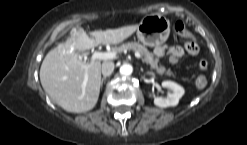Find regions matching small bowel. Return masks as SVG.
Masks as SVG:
<instances>
[{"mask_svg": "<svg viewBox=\"0 0 247 145\" xmlns=\"http://www.w3.org/2000/svg\"><path fill=\"white\" fill-rule=\"evenodd\" d=\"M199 47L195 42H186L183 45H160L155 48L158 57H167L170 62L175 63L182 57L196 56Z\"/></svg>", "mask_w": 247, "mask_h": 145, "instance_id": "small-bowel-1", "label": "small bowel"}]
</instances>
